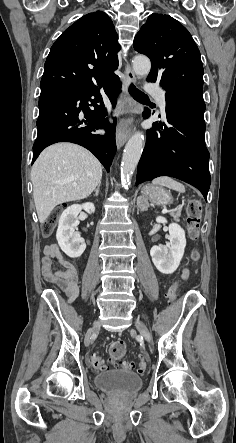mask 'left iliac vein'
<instances>
[{"label": "left iliac vein", "mask_w": 236, "mask_h": 443, "mask_svg": "<svg viewBox=\"0 0 236 443\" xmlns=\"http://www.w3.org/2000/svg\"><path fill=\"white\" fill-rule=\"evenodd\" d=\"M135 326L137 330L140 332V334L143 335L148 342H152V336L149 330L140 320L137 319L135 321Z\"/></svg>", "instance_id": "obj_1"}]
</instances>
